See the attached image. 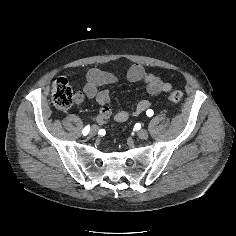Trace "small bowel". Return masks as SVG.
<instances>
[{"label": "small bowel", "mask_w": 236, "mask_h": 236, "mask_svg": "<svg viewBox=\"0 0 236 236\" xmlns=\"http://www.w3.org/2000/svg\"><path fill=\"white\" fill-rule=\"evenodd\" d=\"M126 77L131 83L142 82L146 92L152 96L167 93L172 89L170 83L161 80L158 76L146 72L144 67L140 64L132 65L128 69ZM86 79L87 81L83 89L75 93V102L80 104L85 98L94 99L99 105L96 122L100 125L105 124L112 115L109 105L110 91L108 89H100V87L116 84L119 79L115 74L97 68L90 69L86 75ZM151 106V101L141 100L130 110H119L114 115V119L120 123L125 122L129 118L140 116Z\"/></svg>", "instance_id": "obj_1"}]
</instances>
